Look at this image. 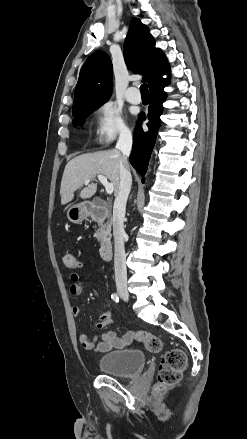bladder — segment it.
Returning a JSON list of instances; mask_svg holds the SVG:
<instances>
[{"instance_id":"obj_1","label":"bladder","mask_w":247,"mask_h":439,"mask_svg":"<svg viewBox=\"0 0 247 439\" xmlns=\"http://www.w3.org/2000/svg\"><path fill=\"white\" fill-rule=\"evenodd\" d=\"M102 372L122 378H132L140 375L146 365L144 352L138 349H122L111 351L99 360Z\"/></svg>"}]
</instances>
